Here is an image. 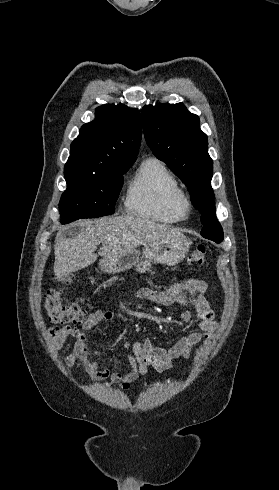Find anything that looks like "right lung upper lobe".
Wrapping results in <instances>:
<instances>
[{
    "mask_svg": "<svg viewBox=\"0 0 279 490\" xmlns=\"http://www.w3.org/2000/svg\"><path fill=\"white\" fill-rule=\"evenodd\" d=\"M142 122L138 110L123 104L98 107L95 119L84 124L72 142L65 171L106 172L132 165L138 155Z\"/></svg>",
    "mask_w": 279,
    "mask_h": 490,
    "instance_id": "cb5924a9",
    "label": "right lung upper lobe"
}]
</instances>
